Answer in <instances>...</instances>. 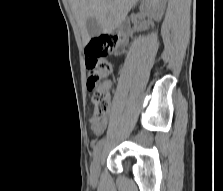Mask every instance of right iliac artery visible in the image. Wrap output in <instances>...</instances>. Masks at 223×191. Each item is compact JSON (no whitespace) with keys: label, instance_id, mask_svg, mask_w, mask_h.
<instances>
[{"label":"right iliac artery","instance_id":"1","mask_svg":"<svg viewBox=\"0 0 223 191\" xmlns=\"http://www.w3.org/2000/svg\"><path fill=\"white\" fill-rule=\"evenodd\" d=\"M105 139L102 138L100 139L97 144L94 146L93 148V155L94 157L99 153L100 149L102 148L103 144H104Z\"/></svg>","mask_w":223,"mask_h":191}]
</instances>
